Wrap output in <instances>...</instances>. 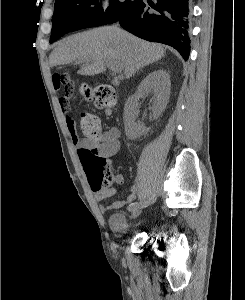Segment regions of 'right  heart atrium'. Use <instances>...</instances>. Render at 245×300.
Segmentation results:
<instances>
[{"label": "right heart atrium", "instance_id": "1", "mask_svg": "<svg viewBox=\"0 0 245 300\" xmlns=\"http://www.w3.org/2000/svg\"><path fill=\"white\" fill-rule=\"evenodd\" d=\"M97 3H98V6L100 9L106 10L110 4V1L109 0H98Z\"/></svg>", "mask_w": 245, "mask_h": 300}]
</instances>
